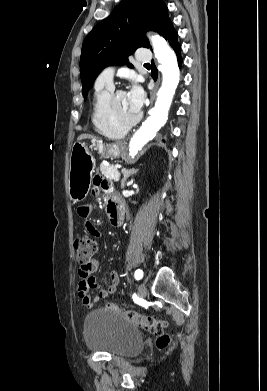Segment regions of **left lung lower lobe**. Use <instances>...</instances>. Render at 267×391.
<instances>
[{"label":"left lung lower lobe","mask_w":267,"mask_h":391,"mask_svg":"<svg viewBox=\"0 0 267 391\" xmlns=\"http://www.w3.org/2000/svg\"><path fill=\"white\" fill-rule=\"evenodd\" d=\"M164 38L169 42L171 47L174 49V51H175V53L177 55V58H178L179 66H181V63H182V58H181V54H180L181 46L179 45V43L177 41V32L172 27L165 34ZM151 75H152L153 79L156 81L157 76H158V71H157L156 67L154 66L153 62H152V72H151Z\"/></svg>","instance_id":"obj_1"}]
</instances>
